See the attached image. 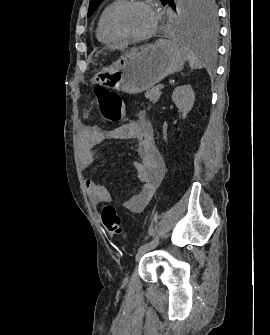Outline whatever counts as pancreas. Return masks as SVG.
<instances>
[{
    "label": "pancreas",
    "instance_id": "1",
    "mask_svg": "<svg viewBox=\"0 0 270 335\" xmlns=\"http://www.w3.org/2000/svg\"><path fill=\"white\" fill-rule=\"evenodd\" d=\"M160 87L161 84L160 86H155L152 90H147L145 94V98H148L149 102H152V104H156L161 96Z\"/></svg>",
    "mask_w": 270,
    "mask_h": 335
}]
</instances>
